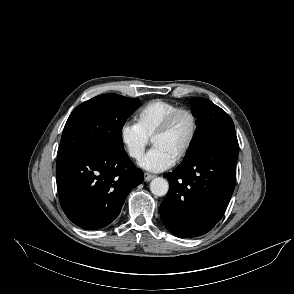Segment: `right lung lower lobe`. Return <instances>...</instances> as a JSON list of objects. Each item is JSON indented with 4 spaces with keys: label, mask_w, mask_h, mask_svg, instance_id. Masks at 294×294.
<instances>
[{
    "label": "right lung lower lobe",
    "mask_w": 294,
    "mask_h": 294,
    "mask_svg": "<svg viewBox=\"0 0 294 294\" xmlns=\"http://www.w3.org/2000/svg\"><path fill=\"white\" fill-rule=\"evenodd\" d=\"M56 175L64 213L88 230L115 220L129 192L144 178L124 149L116 147L70 152L57 159Z\"/></svg>",
    "instance_id": "obj_1"
}]
</instances>
